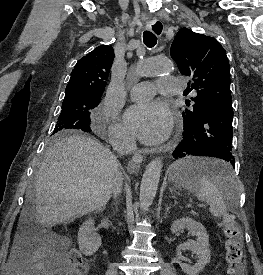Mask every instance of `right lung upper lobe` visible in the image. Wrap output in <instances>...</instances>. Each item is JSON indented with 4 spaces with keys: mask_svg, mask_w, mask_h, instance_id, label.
<instances>
[{
    "mask_svg": "<svg viewBox=\"0 0 263 275\" xmlns=\"http://www.w3.org/2000/svg\"><path fill=\"white\" fill-rule=\"evenodd\" d=\"M113 60L114 50L109 45L99 46L82 57L72 70L65 98L79 95L101 96Z\"/></svg>",
    "mask_w": 263,
    "mask_h": 275,
    "instance_id": "right-lung-upper-lobe-1",
    "label": "right lung upper lobe"
}]
</instances>
